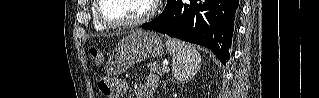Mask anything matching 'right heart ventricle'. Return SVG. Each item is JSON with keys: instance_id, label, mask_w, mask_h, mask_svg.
Wrapping results in <instances>:
<instances>
[{"instance_id": "right-heart-ventricle-1", "label": "right heart ventricle", "mask_w": 319, "mask_h": 98, "mask_svg": "<svg viewBox=\"0 0 319 98\" xmlns=\"http://www.w3.org/2000/svg\"><path fill=\"white\" fill-rule=\"evenodd\" d=\"M95 9H96V5H93L92 7V13H93V27L95 30L97 31H103V30H106L107 27H105L104 25H102L97 17H96V13H95Z\"/></svg>"}]
</instances>
